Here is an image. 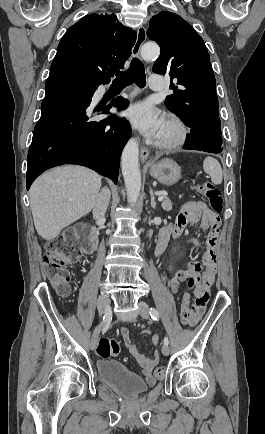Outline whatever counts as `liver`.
I'll return each instance as SVG.
<instances>
[{
    "mask_svg": "<svg viewBox=\"0 0 265 434\" xmlns=\"http://www.w3.org/2000/svg\"><path fill=\"white\" fill-rule=\"evenodd\" d=\"M101 188V176L82 166L54 168L29 190L37 234L57 238L63 228L91 212Z\"/></svg>",
    "mask_w": 265,
    "mask_h": 434,
    "instance_id": "liver-1",
    "label": "liver"
}]
</instances>
